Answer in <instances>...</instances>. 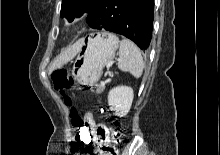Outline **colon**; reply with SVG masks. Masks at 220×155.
I'll return each mask as SVG.
<instances>
[{"label":"colon","instance_id":"1","mask_svg":"<svg viewBox=\"0 0 220 155\" xmlns=\"http://www.w3.org/2000/svg\"><path fill=\"white\" fill-rule=\"evenodd\" d=\"M51 79L54 89L63 96L74 85L70 71L65 68L53 71ZM65 102L67 105H71L69 98H65ZM70 116L74 133L77 134L75 135V144H91L83 155H117V145H120L123 133H112L111 127L99 124L96 138L92 143L93 136L90 135L91 130L87 129L88 123H84L74 108L71 109Z\"/></svg>","mask_w":220,"mask_h":155}]
</instances>
